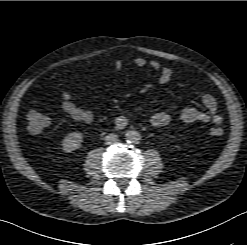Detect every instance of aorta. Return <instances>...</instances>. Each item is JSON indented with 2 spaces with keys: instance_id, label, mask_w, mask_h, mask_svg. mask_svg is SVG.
<instances>
[{
  "instance_id": "1",
  "label": "aorta",
  "mask_w": 247,
  "mask_h": 245,
  "mask_svg": "<svg viewBox=\"0 0 247 245\" xmlns=\"http://www.w3.org/2000/svg\"><path fill=\"white\" fill-rule=\"evenodd\" d=\"M125 137H126V140L129 142V143H132V144H137L140 142L141 140V135L138 131H135V130H130L128 131L126 134H125Z\"/></svg>"
}]
</instances>
